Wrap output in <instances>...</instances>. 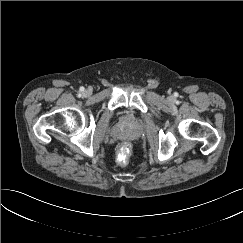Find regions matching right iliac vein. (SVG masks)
<instances>
[{
  "mask_svg": "<svg viewBox=\"0 0 243 243\" xmlns=\"http://www.w3.org/2000/svg\"><path fill=\"white\" fill-rule=\"evenodd\" d=\"M91 94V91L90 90H85L84 92H83V95L84 96H89Z\"/></svg>",
  "mask_w": 243,
  "mask_h": 243,
  "instance_id": "right-iliac-vein-1",
  "label": "right iliac vein"
}]
</instances>
